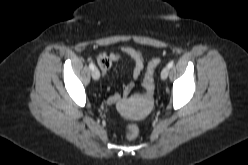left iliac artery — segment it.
<instances>
[{
  "mask_svg": "<svg viewBox=\"0 0 248 165\" xmlns=\"http://www.w3.org/2000/svg\"><path fill=\"white\" fill-rule=\"evenodd\" d=\"M168 68H172L173 67V62H169L167 65Z\"/></svg>",
  "mask_w": 248,
  "mask_h": 165,
  "instance_id": "44dca946",
  "label": "left iliac artery"
}]
</instances>
